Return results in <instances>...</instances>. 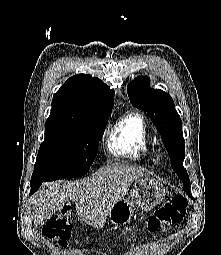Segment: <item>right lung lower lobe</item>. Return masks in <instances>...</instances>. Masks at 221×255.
Wrapping results in <instances>:
<instances>
[{"label": "right lung lower lobe", "mask_w": 221, "mask_h": 255, "mask_svg": "<svg viewBox=\"0 0 221 255\" xmlns=\"http://www.w3.org/2000/svg\"><path fill=\"white\" fill-rule=\"evenodd\" d=\"M42 183H43V181H31L30 195L33 194L34 192H36Z\"/></svg>", "instance_id": "1"}]
</instances>
